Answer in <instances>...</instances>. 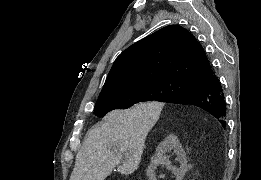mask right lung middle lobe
<instances>
[{
    "instance_id": "right-lung-middle-lobe-1",
    "label": "right lung middle lobe",
    "mask_w": 261,
    "mask_h": 180,
    "mask_svg": "<svg viewBox=\"0 0 261 180\" xmlns=\"http://www.w3.org/2000/svg\"><path fill=\"white\" fill-rule=\"evenodd\" d=\"M197 87V82L179 79L131 85L99 95L94 111L98 117H103L109 111L121 108L127 109L139 102H166L177 95L192 91Z\"/></svg>"
}]
</instances>
